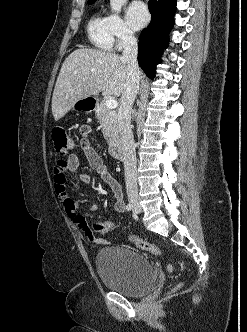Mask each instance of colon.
Instances as JSON below:
<instances>
[{
    "mask_svg": "<svg viewBox=\"0 0 247 332\" xmlns=\"http://www.w3.org/2000/svg\"><path fill=\"white\" fill-rule=\"evenodd\" d=\"M52 140L54 143V149L58 156L64 157L71 153L74 149V140L63 128H55L52 132ZM94 230L101 232L103 234H108L117 229L116 225L111 221H98L94 223ZM129 240L139 249L151 252L155 255H162V250L148 241L140 239L136 236L129 235ZM169 271H173L174 267L172 264L167 266ZM181 285H177L175 289L179 288Z\"/></svg>",
    "mask_w": 247,
    "mask_h": 332,
    "instance_id": "1",
    "label": "colon"
}]
</instances>
